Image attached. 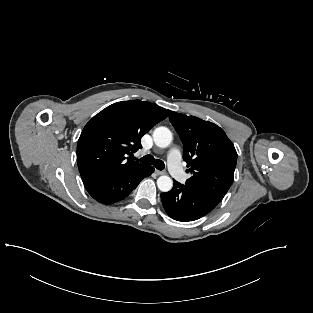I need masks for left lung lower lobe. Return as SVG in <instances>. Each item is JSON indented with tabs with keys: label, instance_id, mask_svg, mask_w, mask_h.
<instances>
[{
	"label": "left lung lower lobe",
	"instance_id": "left-lung-lower-lobe-1",
	"mask_svg": "<svg viewBox=\"0 0 313 313\" xmlns=\"http://www.w3.org/2000/svg\"><path fill=\"white\" fill-rule=\"evenodd\" d=\"M161 200L167 214L174 220H197L213 210L221 200L196 191L174 180L171 191L162 193Z\"/></svg>",
	"mask_w": 313,
	"mask_h": 313
}]
</instances>
